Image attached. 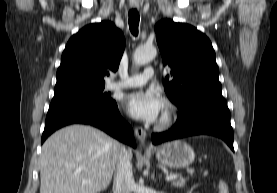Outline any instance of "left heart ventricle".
<instances>
[{"label": "left heart ventricle", "instance_id": "1", "mask_svg": "<svg viewBox=\"0 0 277 193\" xmlns=\"http://www.w3.org/2000/svg\"><path fill=\"white\" fill-rule=\"evenodd\" d=\"M164 112H165V108L163 107V110H162V112L160 114V118L163 116Z\"/></svg>", "mask_w": 277, "mask_h": 193}]
</instances>
